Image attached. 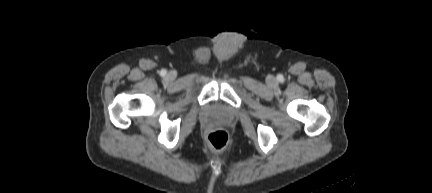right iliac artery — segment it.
<instances>
[{"instance_id":"1","label":"right iliac artery","mask_w":432,"mask_h":193,"mask_svg":"<svg viewBox=\"0 0 432 193\" xmlns=\"http://www.w3.org/2000/svg\"><path fill=\"white\" fill-rule=\"evenodd\" d=\"M166 73H167V71H166L165 69H162V70L160 71V75H161V76H165Z\"/></svg>"}]
</instances>
